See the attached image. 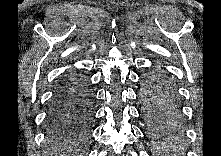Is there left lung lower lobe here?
Returning a JSON list of instances; mask_svg holds the SVG:
<instances>
[{
    "instance_id": "obj_1",
    "label": "left lung lower lobe",
    "mask_w": 221,
    "mask_h": 156,
    "mask_svg": "<svg viewBox=\"0 0 221 156\" xmlns=\"http://www.w3.org/2000/svg\"><path fill=\"white\" fill-rule=\"evenodd\" d=\"M141 112L151 138H165L183 130L182 106L174 81L162 69L142 75Z\"/></svg>"
}]
</instances>
